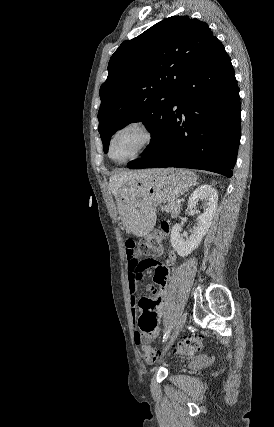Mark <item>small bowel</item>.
Wrapping results in <instances>:
<instances>
[{"instance_id": "c3829d8e", "label": "small bowel", "mask_w": 274, "mask_h": 427, "mask_svg": "<svg viewBox=\"0 0 274 427\" xmlns=\"http://www.w3.org/2000/svg\"><path fill=\"white\" fill-rule=\"evenodd\" d=\"M125 252L130 253L133 250L132 245L127 244L124 247ZM131 262L138 260V255L131 253L127 256ZM175 261V254L170 251L164 262L154 264H128L127 271L129 273V298L131 303V311L134 315L137 308V283L141 278L150 277V283L147 287L148 293H139V318L136 319V326L142 328V334L135 333V342L139 345H144L146 342L160 335L162 330L161 320L163 319L164 302L168 293L167 275L168 268ZM146 360V359H145Z\"/></svg>"}]
</instances>
